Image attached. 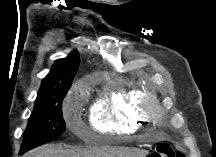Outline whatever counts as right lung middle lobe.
Listing matches in <instances>:
<instances>
[{
    "label": "right lung middle lobe",
    "mask_w": 216,
    "mask_h": 157,
    "mask_svg": "<svg viewBox=\"0 0 216 157\" xmlns=\"http://www.w3.org/2000/svg\"><path fill=\"white\" fill-rule=\"evenodd\" d=\"M68 88H64L56 94L49 96L37 106L31 113L24 134L20 154H23L37 146L48 143L65 131V121L62 116V101Z\"/></svg>",
    "instance_id": "right-lung-middle-lobe-1"
}]
</instances>
